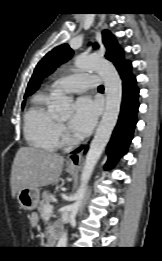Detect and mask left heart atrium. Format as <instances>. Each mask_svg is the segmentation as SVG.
Returning a JSON list of instances; mask_svg holds the SVG:
<instances>
[{"instance_id": "obj_1", "label": "left heart atrium", "mask_w": 162, "mask_h": 261, "mask_svg": "<svg viewBox=\"0 0 162 261\" xmlns=\"http://www.w3.org/2000/svg\"><path fill=\"white\" fill-rule=\"evenodd\" d=\"M98 112V104L91 97H79L70 120L71 128L79 135L88 134L96 123Z\"/></svg>"}]
</instances>
